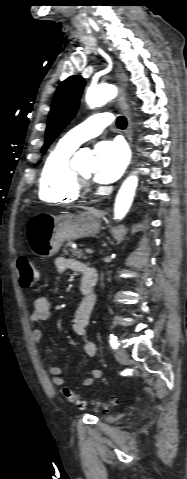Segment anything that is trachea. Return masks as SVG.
<instances>
[{
  "instance_id": "trachea-1",
  "label": "trachea",
  "mask_w": 187,
  "mask_h": 479,
  "mask_svg": "<svg viewBox=\"0 0 187 479\" xmlns=\"http://www.w3.org/2000/svg\"><path fill=\"white\" fill-rule=\"evenodd\" d=\"M116 125L119 128H125L127 126V120L124 116H119L116 121Z\"/></svg>"
}]
</instances>
